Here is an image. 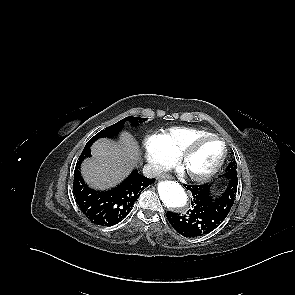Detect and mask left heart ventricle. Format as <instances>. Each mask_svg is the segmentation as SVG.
I'll use <instances>...</instances> for the list:
<instances>
[{
	"label": "left heart ventricle",
	"instance_id": "b2bd125f",
	"mask_svg": "<svg viewBox=\"0 0 295 295\" xmlns=\"http://www.w3.org/2000/svg\"><path fill=\"white\" fill-rule=\"evenodd\" d=\"M222 145L217 140H208L200 144L187 159L184 169L191 174H204L211 170L220 158Z\"/></svg>",
	"mask_w": 295,
	"mask_h": 295
}]
</instances>
